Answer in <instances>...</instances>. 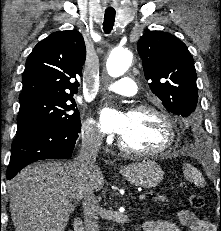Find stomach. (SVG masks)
I'll use <instances>...</instances> for the list:
<instances>
[{"label": "stomach", "mask_w": 221, "mask_h": 231, "mask_svg": "<svg viewBox=\"0 0 221 231\" xmlns=\"http://www.w3.org/2000/svg\"><path fill=\"white\" fill-rule=\"evenodd\" d=\"M120 173L131 184L143 188L158 186L164 175L162 168L152 160H142L123 166Z\"/></svg>", "instance_id": "0dacf381"}]
</instances>
